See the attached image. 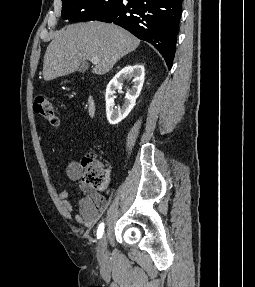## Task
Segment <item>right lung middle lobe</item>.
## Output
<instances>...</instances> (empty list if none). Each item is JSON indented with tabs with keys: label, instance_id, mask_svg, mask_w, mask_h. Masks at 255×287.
<instances>
[{
	"label": "right lung middle lobe",
	"instance_id": "1",
	"mask_svg": "<svg viewBox=\"0 0 255 287\" xmlns=\"http://www.w3.org/2000/svg\"><path fill=\"white\" fill-rule=\"evenodd\" d=\"M123 0H62L63 19L72 22L97 20Z\"/></svg>",
	"mask_w": 255,
	"mask_h": 287
}]
</instances>
